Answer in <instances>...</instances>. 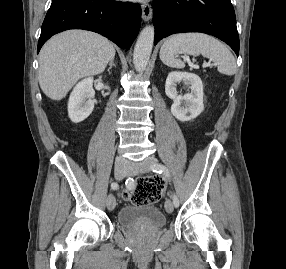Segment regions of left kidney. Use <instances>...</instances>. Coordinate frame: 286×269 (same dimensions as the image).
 I'll list each match as a JSON object with an SVG mask.
<instances>
[{
	"label": "left kidney",
	"instance_id": "left-kidney-1",
	"mask_svg": "<svg viewBox=\"0 0 286 269\" xmlns=\"http://www.w3.org/2000/svg\"><path fill=\"white\" fill-rule=\"evenodd\" d=\"M183 82L190 86L191 92L178 95L177 84ZM165 93L173 100L171 113L180 121H190L204 110L203 83L194 73L172 71L168 74L165 83Z\"/></svg>",
	"mask_w": 286,
	"mask_h": 269
}]
</instances>
